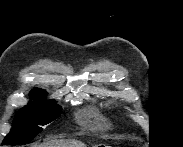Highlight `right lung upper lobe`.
Instances as JSON below:
<instances>
[{
  "mask_svg": "<svg viewBox=\"0 0 183 147\" xmlns=\"http://www.w3.org/2000/svg\"><path fill=\"white\" fill-rule=\"evenodd\" d=\"M33 91H43V90H41V89H34Z\"/></svg>",
  "mask_w": 183,
  "mask_h": 147,
  "instance_id": "1",
  "label": "right lung upper lobe"
}]
</instances>
